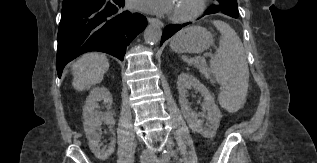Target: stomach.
<instances>
[{"label": "stomach", "mask_w": 317, "mask_h": 163, "mask_svg": "<svg viewBox=\"0 0 317 163\" xmlns=\"http://www.w3.org/2000/svg\"><path fill=\"white\" fill-rule=\"evenodd\" d=\"M214 43L212 34L200 26L187 27L171 40L170 47L178 53H201Z\"/></svg>", "instance_id": "1"}]
</instances>
